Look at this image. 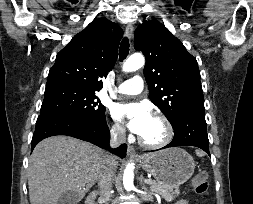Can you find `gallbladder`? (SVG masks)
<instances>
[{"label": "gallbladder", "mask_w": 253, "mask_h": 204, "mask_svg": "<svg viewBox=\"0 0 253 204\" xmlns=\"http://www.w3.org/2000/svg\"><path fill=\"white\" fill-rule=\"evenodd\" d=\"M58 204H77L76 203V194L74 192H67L63 194L59 200Z\"/></svg>", "instance_id": "bac80fb5"}]
</instances>
